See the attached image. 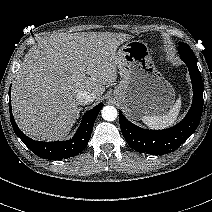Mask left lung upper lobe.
<instances>
[{"mask_svg":"<svg viewBox=\"0 0 212 212\" xmlns=\"http://www.w3.org/2000/svg\"><path fill=\"white\" fill-rule=\"evenodd\" d=\"M179 54L180 55H189V56H195L191 48L186 43H179Z\"/></svg>","mask_w":212,"mask_h":212,"instance_id":"1","label":"left lung upper lobe"}]
</instances>
